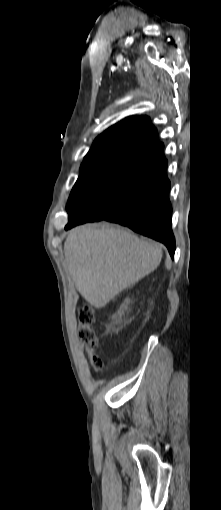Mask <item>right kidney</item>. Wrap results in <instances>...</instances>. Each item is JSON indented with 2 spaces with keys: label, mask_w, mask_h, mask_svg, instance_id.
I'll use <instances>...</instances> for the list:
<instances>
[{
  "label": "right kidney",
  "mask_w": 221,
  "mask_h": 510,
  "mask_svg": "<svg viewBox=\"0 0 221 510\" xmlns=\"http://www.w3.org/2000/svg\"><path fill=\"white\" fill-rule=\"evenodd\" d=\"M129 300H126V306H124L125 309H127V304L129 303Z\"/></svg>",
  "instance_id": "right-kidney-1"
}]
</instances>
